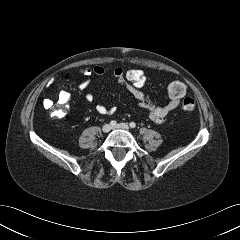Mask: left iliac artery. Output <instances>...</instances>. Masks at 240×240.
Listing matches in <instances>:
<instances>
[{"label": "left iliac artery", "instance_id": "44dca946", "mask_svg": "<svg viewBox=\"0 0 240 240\" xmlns=\"http://www.w3.org/2000/svg\"><path fill=\"white\" fill-rule=\"evenodd\" d=\"M129 125H130L131 128H135L136 127V123H134V122H130Z\"/></svg>", "mask_w": 240, "mask_h": 240}]
</instances>
